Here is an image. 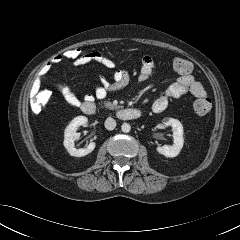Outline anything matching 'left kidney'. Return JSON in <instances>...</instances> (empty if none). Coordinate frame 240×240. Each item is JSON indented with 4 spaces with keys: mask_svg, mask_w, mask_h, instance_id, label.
<instances>
[{
    "mask_svg": "<svg viewBox=\"0 0 240 240\" xmlns=\"http://www.w3.org/2000/svg\"><path fill=\"white\" fill-rule=\"evenodd\" d=\"M163 124L165 126H171L173 130V142L174 144L172 146H158L156 148L157 152L166 156V157H176L184 144V138H183V126L181 122L174 118H164Z\"/></svg>",
    "mask_w": 240,
    "mask_h": 240,
    "instance_id": "obj_1",
    "label": "left kidney"
}]
</instances>
